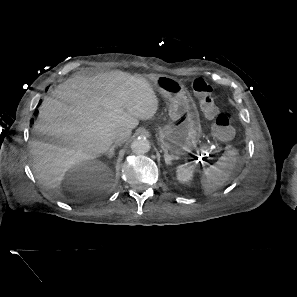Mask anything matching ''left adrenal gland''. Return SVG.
Returning a JSON list of instances; mask_svg holds the SVG:
<instances>
[{
    "label": "left adrenal gland",
    "instance_id": "1",
    "mask_svg": "<svg viewBox=\"0 0 297 297\" xmlns=\"http://www.w3.org/2000/svg\"><path fill=\"white\" fill-rule=\"evenodd\" d=\"M164 159H165V163L166 165H171L172 164V161L176 159L175 156L173 155H168L167 151L164 150Z\"/></svg>",
    "mask_w": 297,
    "mask_h": 297
}]
</instances>
